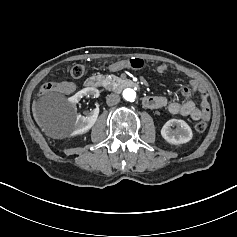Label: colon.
<instances>
[{"mask_svg":"<svg viewBox=\"0 0 237 237\" xmlns=\"http://www.w3.org/2000/svg\"><path fill=\"white\" fill-rule=\"evenodd\" d=\"M143 65H144L143 60L139 58H133L128 61V66L135 70L141 69ZM70 72L73 77L80 78L81 76H83L85 72V67L84 65L78 63L72 66ZM51 89H52V83H46L41 86L40 94L48 93L51 91ZM195 129L197 132L203 133L207 129V123L204 120H201L195 125Z\"/></svg>","mask_w":237,"mask_h":237,"instance_id":"1","label":"colon"}]
</instances>
